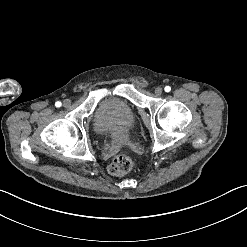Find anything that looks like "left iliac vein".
<instances>
[{
    "label": "left iliac vein",
    "instance_id": "obj_1",
    "mask_svg": "<svg viewBox=\"0 0 247 247\" xmlns=\"http://www.w3.org/2000/svg\"><path fill=\"white\" fill-rule=\"evenodd\" d=\"M154 93L157 96H160L163 93V89L161 87H156L155 90H154Z\"/></svg>",
    "mask_w": 247,
    "mask_h": 247
}]
</instances>
